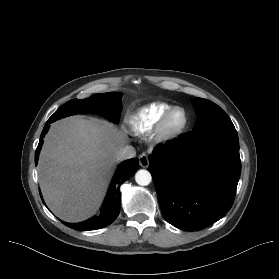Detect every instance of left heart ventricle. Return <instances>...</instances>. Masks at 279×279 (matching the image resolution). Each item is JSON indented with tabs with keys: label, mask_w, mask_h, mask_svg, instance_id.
<instances>
[{
	"label": "left heart ventricle",
	"mask_w": 279,
	"mask_h": 279,
	"mask_svg": "<svg viewBox=\"0 0 279 279\" xmlns=\"http://www.w3.org/2000/svg\"><path fill=\"white\" fill-rule=\"evenodd\" d=\"M183 122V114L180 111L175 112L169 119V128L177 129Z\"/></svg>",
	"instance_id": "obj_1"
}]
</instances>
